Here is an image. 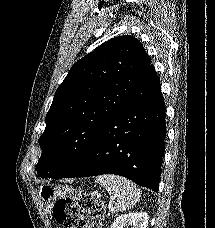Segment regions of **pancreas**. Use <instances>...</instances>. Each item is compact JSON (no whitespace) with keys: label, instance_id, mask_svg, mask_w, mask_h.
Segmentation results:
<instances>
[{"label":"pancreas","instance_id":"pancreas-1","mask_svg":"<svg viewBox=\"0 0 215 228\" xmlns=\"http://www.w3.org/2000/svg\"><path fill=\"white\" fill-rule=\"evenodd\" d=\"M106 216H110V214H106Z\"/></svg>","mask_w":215,"mask_h":228}]
</instances>
